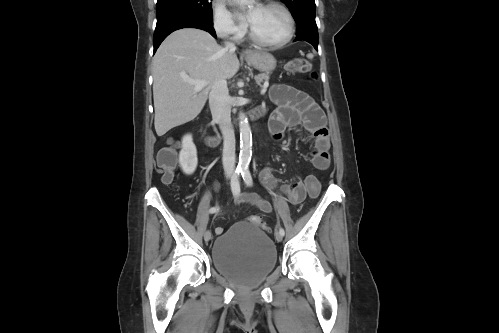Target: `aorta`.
Here are the masks:
<instances>
[{
    "label": "aorta",
    "mask_w": 499,
    "mask_h": 333,
    "mask_svg": "<svg viewBox=\"0 0 499 333\" xmlns=\"http://www.w3.org/2000/svg\"><path fill=\"white\" fill-rule=\"evenodd\" d=\"M239 130L240 154L238 168L244 170L248 168L252 156V134L248 119L242 112L239 114Z\"/></svg>",
    "instance_id": "aorta-1"
}]
</instances>
